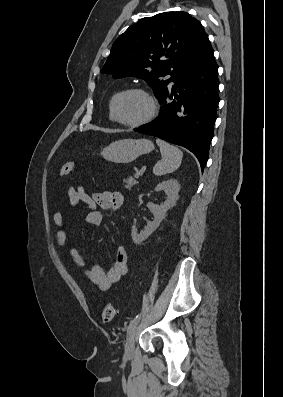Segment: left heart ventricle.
Listing matches in <instances>:
<instances>
[{
  "instance_id": "b2bd125f",
  "label": "left heart ventricle",
  "mask_w": 283,
  "mask_h": 397,
  "mask_svg": "<svg viewBox=\"0 0 283 397\" xmlns=\"http://www.w3.org/2000/svg\"><path fill=\"white\" fill-rule=\"evenodd\" d=\"M116 111L121 120L135 122L148 115L150 104L144 95L140 93H128L119 98Z\"/></svg>"
}]
</instances>
